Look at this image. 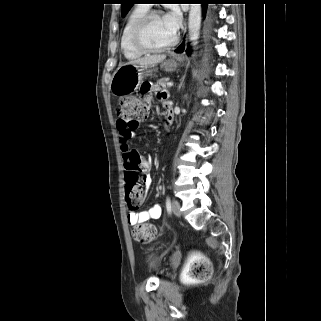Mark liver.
<instances>
[{"mask_svg":"<svg viewBox=\"0 0 321 321\" xmlns=\"http://www.w3.org/2000/svg\"><path fill=\"white\" fill-rule=\"evenodd\" d=\"M166 58V55H151L130 61L128 64H135L141 66L157 65Z\"/></svg>","mask_w":321,"mask_h":321,"instance_id":"6515ba94","label":"liver"}]
</instances>
